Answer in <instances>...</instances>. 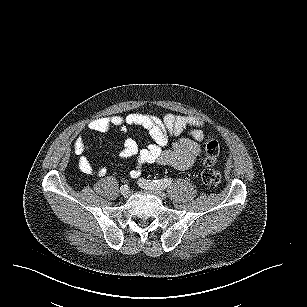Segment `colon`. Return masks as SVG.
<instances>
[{
  "mask_svg": "<svg viewBox=\"0 0 307 307\" xmlns=\"http://www.w3.org/2000/svg\"><path fill=\"white\" fill-rule=\"evenodd\" d=\"M219 153L218 142L211 138H205L203 166L200 173L201 181L206 185L217 186L221 183L222 175L214 168Z\"/></svg>",
  "mask_w": 307,
  "mask_h": 307,
  "instance_id": "colon-1",
  "label": "colon"
}]
</instances>
